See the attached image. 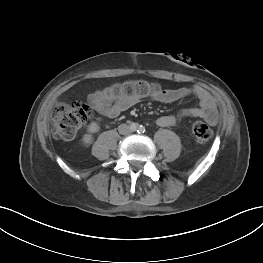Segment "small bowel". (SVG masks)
<instances>
[{
	"label": "small bowel",
	"mask_w": 263,
	"mask_h": 263,
	"mask_svg": "<svg viewBox=\"0 0 263 263\" xmlns=\"http://www.w3.org/2000/svg\"><path fill=\"white\" fill-rule=\"evenodd\" d=\"M193 95L198 101L197 107L183 109L176 114L162 115L156 119V124L160 127H170L176 125L181 119L186 117L202 118L211 125L218 121V112L214 98L202 86L180 87L177 89H164L153 98L162 103H172L187 96ZM88 100L93 108L103 116L115 118L122 112L135 105L139 98L121 96L112 97L106 91H98L88 96Z\"/></svg>",
	"instance_id": "obj_1"
}]
</instances>
